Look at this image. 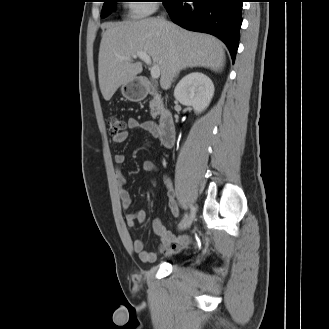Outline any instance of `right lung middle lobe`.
<instances>
[{
	"mask_svg": "<svg viewBox=\"0 0 329 329\" xmlns=\"http://www.w3.org/2000/svg\"><path fill=\"white\" fill-rule=\"evenodd\" d=\"M118 0H104V5L101 12V17H106L109 15L115 8V2ZM167 0H164L166 2Z\"/></svg>",
	"mask_w": 329,
	"mask_h": 329,
	"instance_id": "right-lung-middle-lobe-1",
	"label": "right lung middle lobe"
}]
</instances>
